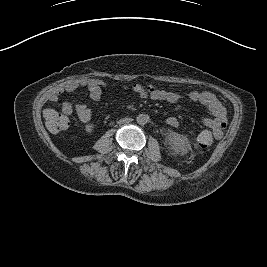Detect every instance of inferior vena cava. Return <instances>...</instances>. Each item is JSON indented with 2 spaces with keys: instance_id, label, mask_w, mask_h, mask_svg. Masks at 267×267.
Wrapping results in <instances>:
<instances>
[{
  "instance_id": "1",
  "label": "inferior vena cava",
  "mask_w": 267,
  "mask_h": 267,
  "mask_svg": "<svg viewBox=\"0 0 267 267\" xmlns=\"http://www.w3.org/2000/svg\"><path fill=\"white\" fill-rule=\"evenodd\" d=\"M125 121H126V122H130V121H132V119H131V118H126Z\"/></svg>"
}]
</instances>
